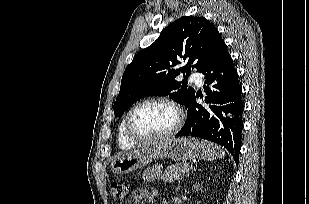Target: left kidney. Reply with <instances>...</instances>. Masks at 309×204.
<instances>
[{"label": "left kidney", "instance_id": "obj_1", "mask_svg": "<svg viewBox=\"0 0 309 204\" xmlns=\"http://www.w3.org/2000/svg\"><path fill=\"white\" fill-rule=\"evenodd\" d=\"M199 187H200L199 183H198V184L196 183V184L194 185V189H195V188L198 189Z\"/></svg>", "mask_w": 309, "mask_h": 204}]
</instances>
